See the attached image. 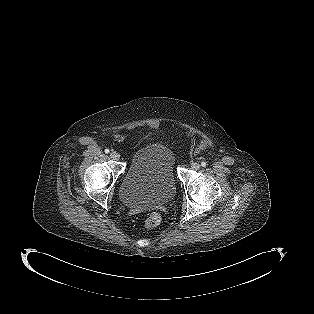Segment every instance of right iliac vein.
<instances>
[{
	"mask_svg": "<svg viewBox=\"0 0 314 314\" xmlns=\"http://www.w3.org/2000/svg\"><path fill=\"white\" fill-rule=\"evenodd\" d=\"M119 154L115 151L110 152V158L113 160H118L119 159Z\"/></svg>",
	"mask_w": 314,
	"mask_h": 314,
	"instance_id": "1",
	"label": "right iliac vein"
}]
</instances>
